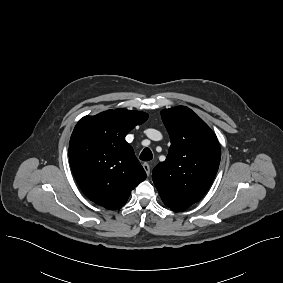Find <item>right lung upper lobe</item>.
Wrapping results in <instances>:
<instances>
[{
	"mask_svg": "<svg viewBox=\"0 0 283 283\" xmlns=\"http://www.w3.org/2000/svg\"><path fill=\"white\" fill-rule=\"evenodd\" d=\"M148 114L126 109L85 116L69 142V160L83 193L94 203L117 208L147 175L125 136Z\"/></svg>",
	"mask_w": 283,
	"mask_h": 283,
	"instance_id": "right-lung-upper-lobe-1",
	"label": "right lung upper lobe"
}]
</instances>
